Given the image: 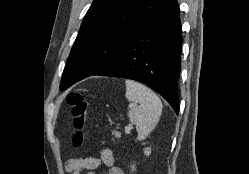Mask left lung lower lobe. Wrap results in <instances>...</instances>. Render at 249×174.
<instances>
[{"instance_id": "left-lung-lower-lobe-1", "label": "left lung lower lobe", "mask_w": 249, "mask_h": 174, "mask_svg": "<svg viewBox=\"0 0 249 174\" xmlns=\"http://www.w3.org/2000/svg\"><path fill=\"white\" fill-rule=\"evenodd\" d=\"M181 44L178 2L165 0L121 52L93 75L121 77L144 83L164 97L178 114Z\"/></svg>"}]
</instances>
